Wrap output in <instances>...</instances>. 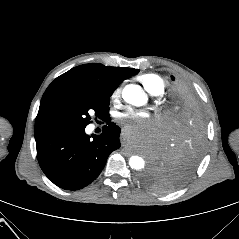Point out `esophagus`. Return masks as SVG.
I'll list each match as a JSON object with an SVG mask.
<instances>
[{
  "mask_svg": "<svg viewBox=\"0 0 239 239\" xmlns=\"http://www.w3.org/2000/svg\"><path fill=\"white\" fill-rule=\"evenodd\" d=\"M119 141H120V143L123 144V145L126 144L127 141H126V137H125L124 134H121V135H120Z\"/></svg>",
  "mask_w": 239,
  "mask_h": 239,
  "instance_id": "esophagus-1",
  "label": "esophagus"
}]
</instances>
